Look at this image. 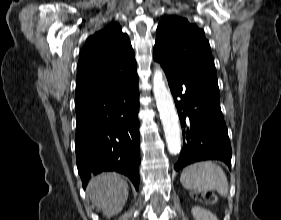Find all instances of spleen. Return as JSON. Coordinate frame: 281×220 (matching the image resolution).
I'll list each match as a JSON object with an SVG mask.
<instances>
[{"label":"spleen","mask_w":281,"mask_h":220,"mask_svg":"<svg viewBox=\"0 0 281 220\" xmlns=\"http://www.w3.org/2000/svg\"><path fill=\"white\" fill-rule=\"evenodd\" d=\"M181 184L190 190H216L221 196L229 193V183L224 170L213 161H201L183 169Z\"/></svg>","instance_id":"spleen-1"}]
</instances>
